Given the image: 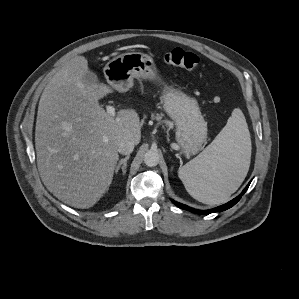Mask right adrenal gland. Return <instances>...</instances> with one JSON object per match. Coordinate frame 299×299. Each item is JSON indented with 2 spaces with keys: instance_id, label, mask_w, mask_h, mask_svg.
<instances>
[{
  "instance_id": "1",
  "label": "right adrenal gland",
  "mask_w": 299,
  "mask_h": 299,
  "mask_svg": "<svg viewBox=\"0 0 299 299\" xmlns=\"http://www.w3.org/2000/svg\"><path fill=\"white\" fill-rule=\"evenodd\" d=\"M130 155H127L125 158L121 159L118 163V165L115 168V173L117 174L119 169H122L123 175L126 174V168H127V161L129 160Z\"/></svg>"
}]
</instances>
